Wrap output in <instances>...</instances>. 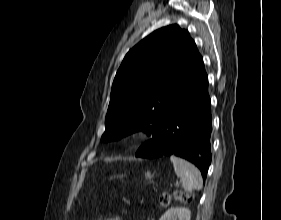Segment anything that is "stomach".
I'll list each match as a JSON object with an SVG mask.
<instances>
[{"label": "stomach", "mask_w": 281, "mask_h": 220, "mask_svg": "<svg viewBox=\"0 0 281 220\" xmlns=\"http://www.w3.org/2000/svg\"><path fill=\"white\" fill-rule=\"evenodd\" d=\"M145 177H146V178H151L152 175H151V173H150L149 171H147V172L145 173Z\"/></svg>", "instance_id": "obj_1"}]
</instances>
